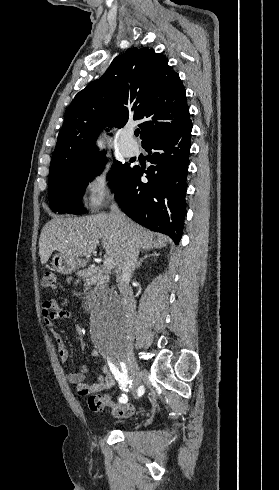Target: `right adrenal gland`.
I'll use <instances>...</instances> for the list:
<instances>
[{
	"instance_id": "obj_1",
	"label": "right adrenal gland",
	"mask_w": 279,
	"mask_h": 490,
	"mask_svg": "<svg viewBox=\"0 0 279 490\" xmlns=\"http://www.w3.org/2000/svg\"><path fill=\"white\" fill-rule=\"evenodd\" d=\"M155 256H159V254H156V252H152V254H146V256H144V258H141V260H139L138 264H136L134 270H139L140 266H142V262H144V260H147V258H155Z\"/></svg>"
}]
</instances>
